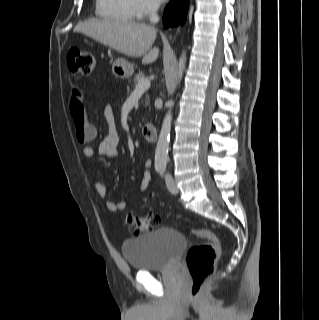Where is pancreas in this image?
<instances>
[{"label":"pancreas","instance_id":"obj_1","mask_svg":"<svg viewBox=\"0 0 319 320\" xmlns=\"http://www.w3.org/2000/svg\"><path fill=\"white\" fill-rule=\"evenodd\" d=\"M144 78V73L139 72L134 76L133 83L136 85L140 79ZM147 104H149V97L146 99Z\"/></svg>","mask_w":319,"mask_h":320}]
</instances>
